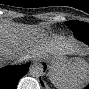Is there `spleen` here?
Instances as JSON below:
<instances>
[{"label":"spleen","instance_id":"spleen-1","mask_svg":"<svg viewBox=\"0 0 89 89\" xmlns=\"http://www.w3.org/2000/svg\"><path fill=\"white\" fill-rule=\"evenodd\" d=\"M49 80L57 89H80L89 80V65L83 59L68 61L49 71Z\"/></svg>","mask_w":89,"mask_h":89}]
</instances>
